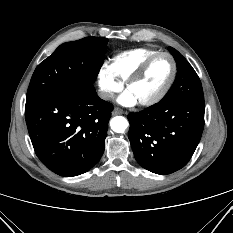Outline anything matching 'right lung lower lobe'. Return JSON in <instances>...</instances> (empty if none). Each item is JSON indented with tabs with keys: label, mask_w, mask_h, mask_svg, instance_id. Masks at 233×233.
<instances>
[{
	"label": "right lung lower lobe",
	"mask_w": 233,
	"mask_h": 233,
	"mask_svg": "<svg viewBox=\"0 0 233 233\" xmlns=\"http://www.w3.org/2000/svg\"><path fill=\"white\" fill-rule=\"evenodd\" d=\"M112 110L92 84L26 102L25 118L36 155L60 176L87 172L104 152Z\"/></svg>",
	"instance_id": "1"
}]
</instances>
